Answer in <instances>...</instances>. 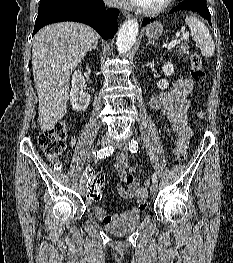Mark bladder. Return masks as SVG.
Masks as SVG:
<instances>
[{
  "instance_id": "31cf9c89",
  "label": "bladder",
  "mask_w": 233,
  "mask_h": 263,
  "mask_svg": "<svg viewBox=\"0 0 233 263\" xmlns=\"http://www.w3.org/2000/svg\"><path fill=\"white\" fill-rule=\"evenodd\" d=\"M141 221L139 212L126 211L120 214L115 220L105 223L104 230L115 236L125 235L134 230Z\"/></svg>"
}]
</instances>
